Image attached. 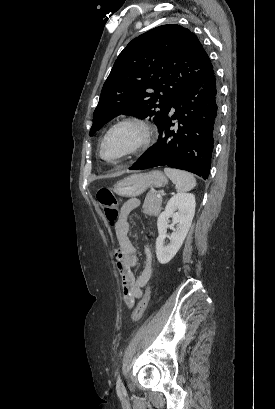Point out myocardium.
<instances>
[{
  "label": "myocardium",
  "mask_w": 275,
  "mask_h": 409,
  "mask_svg": "<svg viewBox=\"0 0 275 409\" xmlns=\"http://www.w3.org/2000/svg\"><path fill=\"white\" fill-rule=\"evenodd\" d=\"M122 128H131L135 131L136 133V139L134 142L127 147L121 154L115 156V157H128L137 151H139L141 148L146 146L148 142L150 141L151 137V130L149 125L138 118H126L122 119L115 124H113L105 133L103 136L100 145H99V154L101 157H106L104 155L103 149L106 141L110 138V136L118 131L119 129Z\"/></svg>",
  "instance_id": "myocardium-1"
}]
</instances>
